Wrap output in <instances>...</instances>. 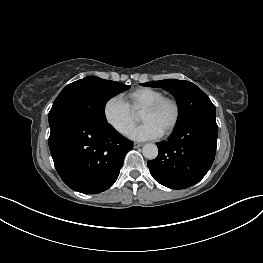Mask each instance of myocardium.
I'll list each match as a JSON object with an SVG mask.
<instances>
[{
	"label": "myocardium",
	"instance_id": "1",
	"mask_svg": "<svg viewBox=\"0 0 263 263\" xmlns=\"http://www.w3.org/2000/svg\"><path fill=\"white\" fill-rule=\"evenodd\" d=\"M165 105H170L173 109V116L171 121L169 122V124L167 125V127L165 128V130L163 131L164 134L169 135L171 134L174 129L176 128L179 119H180V115H181V109H180V105L178 103V101L172 97H162L154 102H151L150 104L146 105L143 110H151V111H155L158 110L160 108H162Z\"/></svg>",
	"mask_w": 263,
	"mask_h": 263
}]
</instances>
